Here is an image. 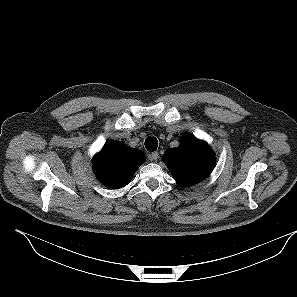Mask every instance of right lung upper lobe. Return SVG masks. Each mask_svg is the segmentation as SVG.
Instances as JSON below:
<instances>
[{
	"instance_id": "1",
	"label": "right lung upper lobe",
	"mask_w": 297,
	"mask_h": 297,
	"mask_svg": "<svg viewBox=\"0 0 297 297\" xmlns=\"http://www.w3.org/2000/svg\"><path fill=\"white\" fill-rule=\"evenodd\" d=\"M145 155L138 149L121 143H108L94 156L93 169L99 181L109 188H122L144 162Z\"/></svg>"
}]
</instances>
